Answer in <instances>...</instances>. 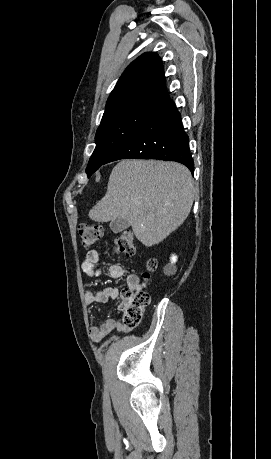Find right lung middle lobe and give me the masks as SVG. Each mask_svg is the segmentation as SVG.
Returning <instances> with one entry per match:
<instances>
[{
  "label": "right lung middle lobe",
  "mask_w": 271,
  "mask_h": 459,
  "mask_svg": "<svg viewBox=\"0 0 271 459\" xmlns=\"http://www.w3.org/2000/svg\"><path fill=\"white\" fill-rule=\"evenodd\" d=\"M156 114L135 109L103 116L95 136L96 148L86 169L88 176L105 164L118 147Z\"/></svg>",
  "instance_id": "1"
}]
</instances>
